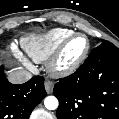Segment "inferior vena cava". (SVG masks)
I'll use <instances>...</instances> for the list:
<instances>
[{
	"label": "inferior vena cava",
	"mask_w": 119,
	"mask_h": 119,
	"mask_svg": "<svg viewBox=\"0 0 119 119\" xmlns=\"http://www.w3.org/2000/svg\"><path fill=\"white\" fill-rule=\"evenodd\" d=\"M32 78V74L29 71L21 68H14L8 74V81L13 84H22Z\"/></svg>",
	"instance_id": "inferior-vena-cava-1"
}]
</instances>
